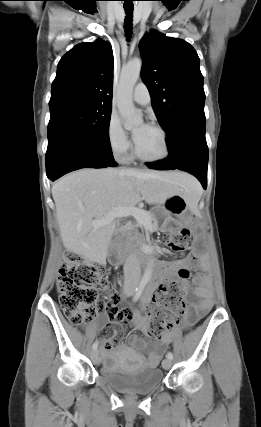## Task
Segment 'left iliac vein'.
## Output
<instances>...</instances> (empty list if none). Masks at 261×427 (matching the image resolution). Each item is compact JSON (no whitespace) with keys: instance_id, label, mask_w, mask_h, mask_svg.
Wrapping results in <instances>:
<instances>
[{"instance_id":"left-iliac-vein-1","label":"left iliac vein","mask_w":261,"mask_h":427,"mask_svg":"<svg viewBox=\"0 0 261 427\" xmlns=\"http://www.w3.org/2000/svg\"><path fill=\"white\" fill-rule=\"evenodd\" d=\"M171 366H172V361H171V359H169V358H165V359L162 361V367H163L164 369L168 370V369H170V368H171Z\"/></svg>"}]
</instances>
